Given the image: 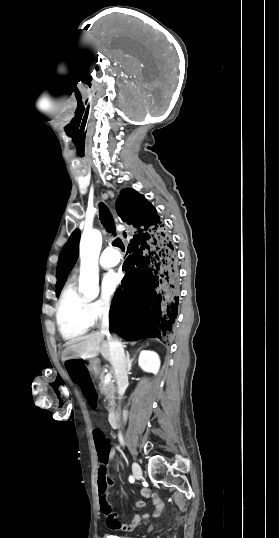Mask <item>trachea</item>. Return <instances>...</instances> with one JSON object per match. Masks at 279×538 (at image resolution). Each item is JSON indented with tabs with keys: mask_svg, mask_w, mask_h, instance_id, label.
<instances>
[{
	"mask_svg": "<svg viewBox=\"0 0 279 538\" xmlns=\"http://www.w3.org/2000/svg\"><path fill=\"white\" fill-rule=\"evenodd\" d=\"M99 217L102 225L104 228L111 233H115V224L112 214L110 213L107 206L103 203L99 204ZM112 245L119 248H124V244L120 240V238H116Z\"/></svg>",
	"mask_w": 279,
	"mask_h": 538,
	"instance_id": "obj_1",
	"label": "trachea"
}]
</instances>
